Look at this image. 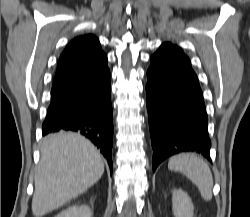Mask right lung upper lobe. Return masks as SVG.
I'll list each match as a JSON object with an SVG mask.
<instances>
[{
	"mask_svg": "<svg viewBox=\"0 0 250 217\" xmlns=\"http://www.w3.org/2000/svg\"><path fill=\"white\" fill-rule=\"evenodd\" d=\"M105 53L94 35L78 36L72 40L60 56L53 84L74 77L89 69Z\"/></svg>",
	"mask_w": 250,
	"mask_h": 217,
	"instance_id": "1",
	"label": "right lung upper lobe"
}]
</instances>
